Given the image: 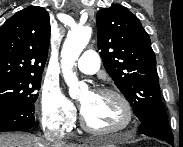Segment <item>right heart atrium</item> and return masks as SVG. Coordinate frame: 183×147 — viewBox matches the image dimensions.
I'll return each mask as SVG.
<instances>
[{"instance_id":"right-heart-atrium-1","label":"right heart atrium","mask_w":183,"mask_h":147,"mask_svg":"<svg viewBox=\"0 0 183 147\" xmlns=\"http://www.w3.org/2000/svg\"><path fill=\"white\" fill-rule=\"evenodd\" d=\"M40 110L43 124L58 132H67L73 126L76 111L60 87L54 82H46L42 87Z\"/></svg>"}]
</instances>
